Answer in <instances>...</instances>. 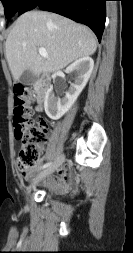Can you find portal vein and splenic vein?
Instances as JSON below:
<instances>
[{"mask_svg": "<svg viewBox=\"0 0 133 253\" xmlns=\"http://www.w3.org/2000/svg\"><path fill=\"white\" fill-rule=\"evenodd\" d=\"M38 52H39V54H40L41 56L47 57V51H46L45 48H43V47L39 48V49H38Z\"/></svg>", "mask_w": 133, "mask_h": 253, "instance_id": "1", "label": "portal vein and splenic vein"}]
</instances>
